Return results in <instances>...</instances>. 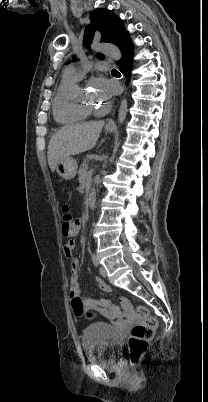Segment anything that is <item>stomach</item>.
Masks as SVG:
<instances>
[{"label":"stomach","mask_w":208,"mask_h":402,"mask_svg":"<svg viewBox=\"0 0 208 402\" xmlns=\"http://www.w3.org/2000/svg\"><path fill=\"white\" fill-rule=\"evenodd\" d=\"M107 132H113L114 128H109V126H106ZM77 162L74 160V158H70V156H67V158H64V160H60L58 162L55 170L57 174H59L60 178H64V180H72V178H75L76 172H77Z\"/></svg>","instance_id":"obj_1"}]
</instances>
